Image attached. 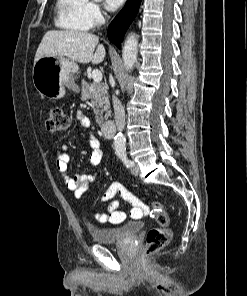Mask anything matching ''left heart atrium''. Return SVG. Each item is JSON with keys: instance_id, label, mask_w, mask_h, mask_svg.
<instances>
[{"instance_id": "obj_1", "label": "left heart atrium", "mask_w": 247, "mask_h": 296, "mask_svg": "<svg viewBox=\"0 0 247 296\" xmlns=\"http://www.w3.org/2000/svg\"><path fill=\"white\" fill-rule=\"evenodd\" d=\"M124 0H105V5L108 10H116L118 7L122 5Z\"/></svg>"}]
</instances>
